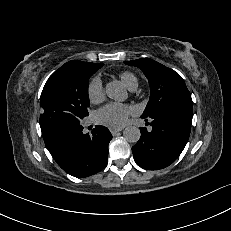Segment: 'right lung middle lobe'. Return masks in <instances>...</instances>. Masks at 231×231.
I'll return each mask as SVG.
<instances>
[{
  "label": "right lung middle lobe",
  "mask_w": 231,
  "mask_h": 231,
  "mask_svg": "<svg viewBox=\"0 0 231 231\" xmlns=\"http://www.w3.org/2000/svg\"><path fill=\"white\" fill-rule=\"evenodd\" d=\"M102 66V63L64 64L50 76L40 97V127L43 137L67 124L79 123L89 115V78Z\"/></svg>",
  "instance_id": "right-lung-middle-lobe-1"
}]
</instances>
